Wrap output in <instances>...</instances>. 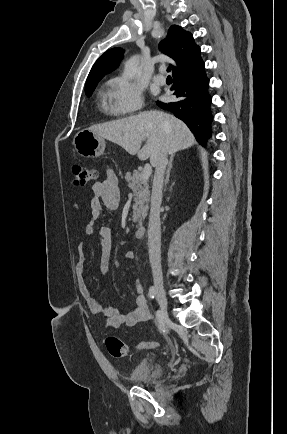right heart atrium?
Returning a JSON list of instances; mask_svg holds the SVG:
<instances>
[{
    "instance_id": "right-heart-atrium-1",
    "label": "right heart atrium",
    "mask_w": 287,
    "mask_h": 434,
    "mask_svg": "<svg viewBox=\"0 0 287 434\" xmlns=\"http://www.w3.org/2000/svg\"><path fill=\"white\" fill-rule=\"evenodd\" d=\"M107 98L111 112L126 115L141 108L143 90L133 80L125 76H117L109 81Z\"/></svg>"
}]
</instances>
